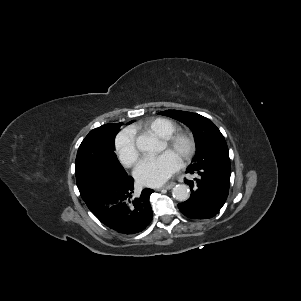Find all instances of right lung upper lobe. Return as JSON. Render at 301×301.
<instances>
[{
    "label": "right lung upper lobe",
    "mask_w": 301,
    "mask_h": 301,
    "mask_svg": "<svg viewBox=\"0 0 301 301\" xmlns=\"http://www.w3.org/2000/svg\"><path fill=\"white\" fill-rule=\"evenodd\" d=\"M118 125H119V123H117V124H105V125H103L101 127H98V128H100V129H106V130H114V129H116L118 127ZM96 179H98V178H96ZM96 179L92 180L90 182V184H92Z\"/></svg>",
    "instance_id": "right-lung-upper-lobe-1"
}]
</instances>
